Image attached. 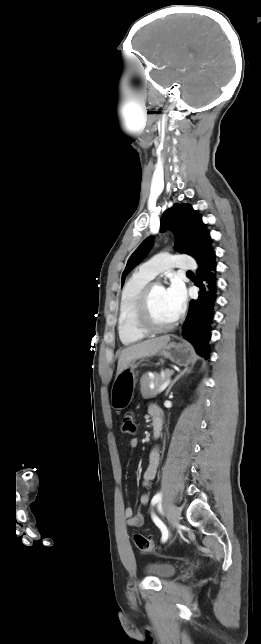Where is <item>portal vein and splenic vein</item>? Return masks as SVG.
Masks as SVG:
<instances>
[{
    "label": "portal vein and splenic vein",
    "instance_id": "obj_1",
    "mask_svg": "<svg viewBox=\"0 0 261 644\" xmlns=\"http://www.w3.org/2000/svg\"><path fill=\"white\" fill-rule=\"evenodd\" d=\"M169 383H170V379H166L162 384V386L158 389L156 394L161 393L168 386Z\"/></svg>",
    "mask_w": 261,
    "mask_h": 644
}]
</instances>
